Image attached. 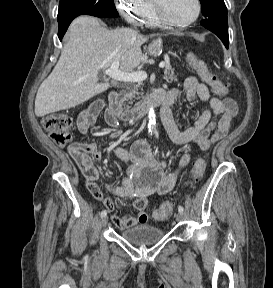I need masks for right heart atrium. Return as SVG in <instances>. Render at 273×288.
Masks as SVG:
<instances>
[{
	"mask_svg": "<svg viewBox=\"0 0 273 288\" xmlns=\"http://www.w3.org/2000/svg\"><path fill=\"white\" fill-rule=\"evenodd\" d=\"M119 13L133 25H137L150 10L148 0H114Z\"/></svg>",
	"mask_w": 273,
	"mask_h": 288,
	"instance_id": "d8ad5b80",
	"label": "right heart atrium"
}]
</instances>
